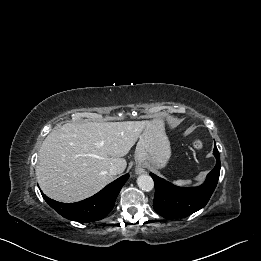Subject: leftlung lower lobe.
I'll return each mask as SVG.
<instances>
[{
    "label": "left lung lower lobe",
    "mask_w": 261,
    "mask_h": 261,
    "mask_svg": "<svg viewBox=\"0 0 261 261\" xmlns=\"http://www.w3.org/2000/svg\"><path fill=\"white\" fill-rule=\"evenodd\" d=\"M213 154L216 165L207 175L206 181L198 186L183 188L150 173L155 184L154 210L165 218H182L203 208L217 185L220 174V156L215 145Z\"/></svg>",
    "instance_id": "0a47b994"
}]
</instances>
